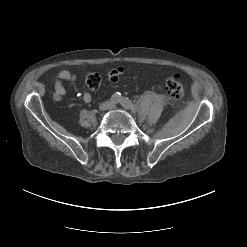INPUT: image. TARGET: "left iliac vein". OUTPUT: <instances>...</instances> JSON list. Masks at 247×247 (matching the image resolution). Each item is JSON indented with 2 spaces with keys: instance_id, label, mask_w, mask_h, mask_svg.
<instances>
[{
  "instance_id": "obj_1",
  "label": "left iliac vein",
  "mask_w": 247,
  "mask_h": 247,
  "mask_svg": "<svg viewBox=\"0 0 247 247\" xmlns=\"http://www.w3.org/2000/svg\"><path fill=\"white\" fill-rule=\"evenodd\" d=\"M110 108H111V109H115V108H116V105H115L114 103H112V104L110 105Z\"/></svg>"
}]
</instances>
